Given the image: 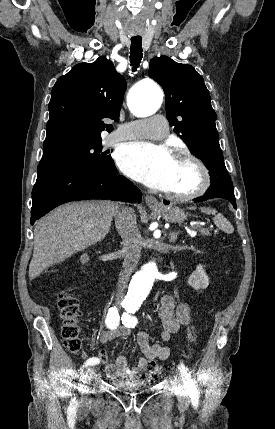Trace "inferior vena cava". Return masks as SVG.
I'll use <instances>...</instances> for the list:
<instances>
[{
  "instance_id": "inferior-vena-cava-1",
  "label": "inferior vena cava",
  "mask_w": 275,
  "mask_h": 429,
  "mask_svg": "<svg viewBox=\"0 0 275 429\" xmlns=\"http://www.w3.org/2000/svg\"><path fill=\"white\" fill-rule=\"evenodd\" d=\"M115 225L123 240V251L125 259L123 270L118 285L116 299L123 298L128 277L134 271L141 253V235L137 227L134 210L130 207L122 206L115 214Z\"/></svg>"
}]
</instances>
